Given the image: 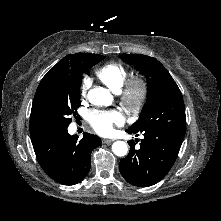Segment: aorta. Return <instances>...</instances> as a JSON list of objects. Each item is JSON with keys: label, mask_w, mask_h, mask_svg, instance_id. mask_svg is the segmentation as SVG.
<instances>
[{"label": "aorta", "mask_w": 221, "mask_h": 221, "mask_svg": "<svg viewBox=\"0 0 221 221\" xmlns=\"http://www.w3.org/2000/svg\"><path fill=\"white\" fill-rule=\"evenodd\" d=\"M88 98L94 105H106L112 99L109 90L103 87L91 89ZM112 151L116 156L122 157L128 153V146L124 141H116L112 144Z\"/></svg>", "instance_id": "obj_1"}]
</instances>
